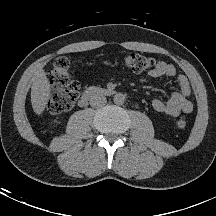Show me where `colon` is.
I'll return each instance as SVG.
<instances>
[{
	"mask_svg": "<svg viewBox=\"0 0 216 216\" xmlns=\"http://www.w3.org/2000/svg\"><path fill=\"white\" fill-rule=\"evenodd\" d=\"M121 62L125 68L134 72L154 70L159 65L157 59L135 52L125 54ZM70 65L69 57L60 56L56 58L50 71L49 79L54 89L49 96L47 109L52 114L69 111L79 96L80 86L70 73ZM187 123V117L182 115L176 119L175 126L182 130L186 128Z\"/></svg>",
	"mask_w": 216,
	"mask_h": 216,
	"instance_id": "1",
	"label": "colon"
}]
</instances>
